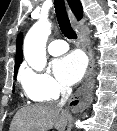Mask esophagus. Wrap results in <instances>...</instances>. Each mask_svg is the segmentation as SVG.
Returning <instances> with one entry per match:
<instances>
[{"instance_id": "34e87169", "label": "esophagus", "mask_w": 117, "mask_h": 131, "mask_svg": "<svg viewBox=\"0 0 117 131\" xmlns=\"http://www.w3.org/2000/svg\"><path fill=\"white\" fill-rule=\"evenodd\" d=\"M67 12L71 21L75 23L76 22L75 18L69 7H67ZM80 38L83 42L84 49L89 58V66L86 75L84 77L83 85L80 88H78V90L74 93L68 104V106L74 113L84 110L86 107L90 105L93 99L91 82L94 73V58L87 37L81 33Z\"/></svg>"}]
</instances>
